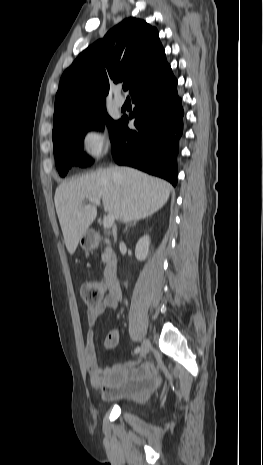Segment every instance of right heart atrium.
Here are the masks:
<instances>
[{"instance_id":"right-heart-atrium-1","label":"right heart atrium","mask_w":263,"mask_h":465,"mask_svg":"<svg viewBox=\"0 0 263 465\" xmlns=\"http://www.w3.org/2000/svg\"><path fill=\"white\" fill-rule=\"evenodd\" d=\"M111 145L108 129L102 122H91L82 130L80 146L85 157L96 159L102 156Z\"/></svg>"}]
</instances>
